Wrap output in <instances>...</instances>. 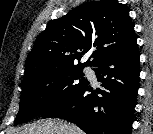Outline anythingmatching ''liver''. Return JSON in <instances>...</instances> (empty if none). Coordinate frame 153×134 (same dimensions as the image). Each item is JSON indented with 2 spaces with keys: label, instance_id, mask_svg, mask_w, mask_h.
I'll return each instance as SVG.
<instances>
[{
  "label": "liver",
  "instance_id": "obj_1",
  "mask_svg": "<svg viewBox=\"0 0 153 134\" xmlns=\"http://www.w3.org/2000/svg\"><path fill=\"white\" fill-rule=\"evenodd\" d=\"M15 134H83L77 126L62 120H41L15 131Z\"/></svg>",
  "mask_w": 153,
  "mask_h": 134
}]
</instances>
